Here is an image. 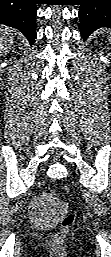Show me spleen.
<instances>
[{"label": "spleen", "instance_id": "obj_1", "mask_svg": "<svg viewBox=\"0 0 111 257\" xmlns=\"http://www.w3.org/2000/svg\"><path fill=\"white\" fill-rule=\"evenodd\" d=\"M109 38H111V32L109 33Z\"/></svg>", "mask_w": 111, "mask_h": 257}]
</instances>
